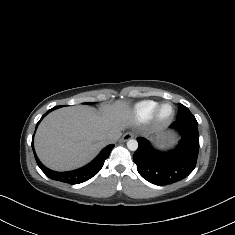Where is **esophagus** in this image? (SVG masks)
Instances as JSON below:
<instances>
[{"label": "esophagus", "instance_id": "obj_1", "mask_svg": "<svg viewBox=\"0 0 235 235\" xmlns=\"http://www.w3.org/2000/svg\"><path fill=\"white\" fill-rule=\"evenodd\" d=\"M134 137H135V134H134V133H132V132H126V133L122 136V138L120 139V142H126V141H128L129 139L134 138Z\"/></svg>", "mask_w": 235, "mask_h": 235}]
</instances>
